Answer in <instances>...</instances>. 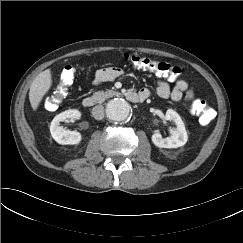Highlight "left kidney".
Segmentation results:
<instances>
[{
	"label": "left kidney",
	"instance_id": "1",
	"mask_svg": "<svg viewBox=\"0 0 243 243\" xmlns=\"http://www.w3.org/2000/svg\"><path fill=\"white\" fill-rule=\"evenodd\" d=\"M165 118L166 120L174 121L176 128L171 129L170 136L166 138H163L160 133H154L152 135V142L160 148H178L185 145L188 135L179 114L172 109H168Z\"/></svg>",
	"mask_w": 243,
	"mask_h": 243
}]
</instances>
